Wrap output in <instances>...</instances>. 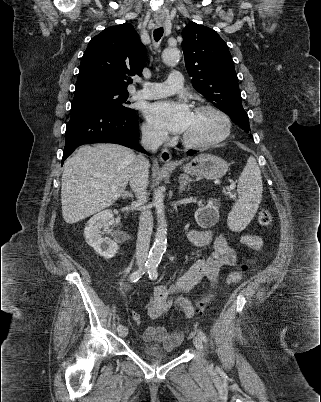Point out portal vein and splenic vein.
Wrapping results in <instances>:
<instances>
[{
	"instance_id": "portal-vein-and-splenic-vein-1",
	"label": "portal vein and splenic vein",
	"mask_w": 321,
	"mask_h": 402,
	"mask_svg": "<svg viewBox=\"0 0 321 402\" xmlns=\"http://www.w3.org/2000/svg\"><path fill=\"white\" fill-rule=\"evenodd\" d=\"M233 188H234V185L231 184V185L228 187V191H231ZM230 197H231V198H234L235 195L230 193Z\"/></svg>"
}]
</instances>
